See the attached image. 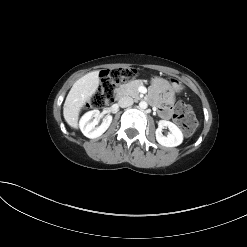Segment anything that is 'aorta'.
<instances>
[{"mask_svg": "<svg viewBox=\"0 0 247 247\" xmlns=\"http://www.w3.org/2000/svg\"><path fill=\"white\" fill-rule=\"evenodd\" d=\"M147 107H148V104H147L146 101H141V102L139 103V108H140V109H146Z\"/></svg>", "mask_w": 247, "mask_h": 247, "instance_id": "obj_1", "label": "aorta"}]
</instances>
